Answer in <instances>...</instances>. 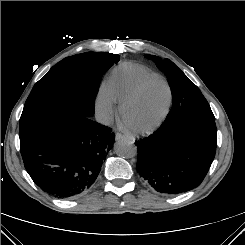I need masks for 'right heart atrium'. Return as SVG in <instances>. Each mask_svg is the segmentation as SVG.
<instances>
[{
  "label": "right heart atrium",
  "instance_id": "right-heart-atrium-1",
  "mask_svg": "<svg viewBox=\"0 0 245 245\" xmlns=\"http://www.w3.org/2000/svg\"><path fill=\"white\" fill-rule=\"evenodd\" d=\"M95 109L99 118L105 123L110 122L117 114L116 101L106 84H102L98 91Z\"/></svg>",
  "mask_w": 245,
  "mask_h": 245
}]
</instances>
